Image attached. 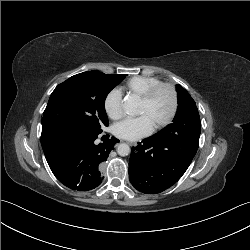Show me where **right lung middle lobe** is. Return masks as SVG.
Segmentation results:
<instances>
[{"mask_svg": "<svg viewBox=\"0 0 250 250\" xmlns=\"http://www.w3.org/2000/svg\"><path fill=\"white\" fill-rule=\"evenodd\" d=\"M124 77L88 71L59 84L43 113L42 131L72 128L100 134L101 128L109 125L104 106L106 96Z\"/></svg>", "mask_w": 250, "mask_h": 250, "instance_id": "dd1d6c3e", "label": "right lung middle lobe"}]
</instances>
